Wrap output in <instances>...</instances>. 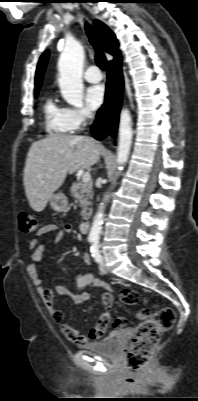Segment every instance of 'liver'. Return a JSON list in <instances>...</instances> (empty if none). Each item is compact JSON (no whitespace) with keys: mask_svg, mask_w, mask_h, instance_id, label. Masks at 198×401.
<instances>
[{"mask_svg":"<svg viewBox=\"0 0 198 401\" xmlns=\"http://www.w3.org/2000/svg\"><path fill=\"white\" fill-rule=\"evenodd\" d=\"M101 155V146L87 136L54 134L34 142L27 154L24 188L36 212L45 209L67 174L90 169Z\"/></svg>","mask_w":198,"mask_h":401,"instance_id":"1","label":"liver"}]
</instances>
